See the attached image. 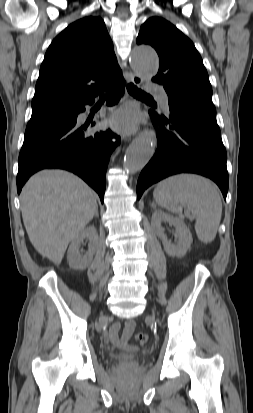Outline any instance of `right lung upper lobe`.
<instances>
[{
  "label": "right lung upper lobe",
  "instance_id": "1",
  "mask_svg": "<svg viewBox=\"0 0 253 413\" xmlns=\"http://www.w3.org/2000/svg\"><path fill=\"white\" fill-rule=\"evenodd\" d=\"M121 74L104 21L89 16L63 30L41 64L32 115L71 110L89 102Z\"/></svg>",
  "mask_w": 253,
  "mask_h": 413
}]
</instances>
